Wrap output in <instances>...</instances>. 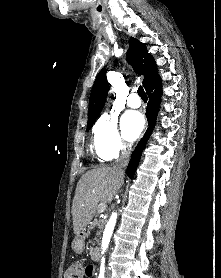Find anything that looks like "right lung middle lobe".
Segmentation results:
<instances>
[{"label":"right lung middle lobe","mask_w":221,"mask_h":278,"mask_svg":"<svg viewBox=\"0 0 221 278\" xmlns=\"http://www.w3.org/2000/svg\"><path fill=\"white\" fill-rule=\"evenodd\" d=\"M93 126V124H89V125H87V128L89 129V128H91Z\"/></svg>","instance_id":"dd1d6c3e"}]
</instances>
